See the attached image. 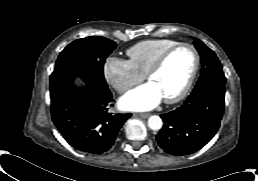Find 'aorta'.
Returning <instances> with one entry per match:
<instances>
[{"label": "aorta", "instance_id": "762f6f07", "mask_svg": "<svg viewBox=\"0 0 258 181\" xmlns=\"http://www.w3.org/2000/svg\"><path fill=\"white\" fill-rule=\"evenodd\" d=\"M162 119L157 115H152L148 119V126L152 130H159L162 128Z\"/></svg>", "mask_w": 258, "mask_h": 181}]
</instances>
